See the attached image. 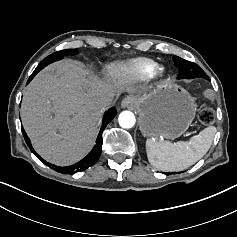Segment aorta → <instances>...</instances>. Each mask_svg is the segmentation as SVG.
<instances>
[{"label":"aorta","mask_w":237,"mask_h":237,"mask_svg":"<svg viewBox=\"0 0 237 237\" xmlns=\"http://www.w3.org/2000/svg\"><path fill=\"white\" fill-rule=\"evenodd\" d=\"M119 125L122 128H132L136 122L135 116L131 111H123L118 117Z\"/></svg>","instance_id":"762f6f07"}]
</instances>
